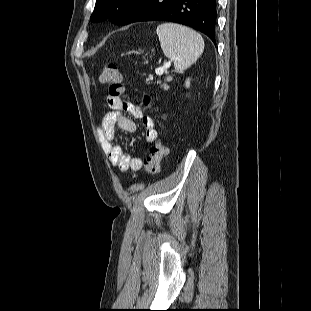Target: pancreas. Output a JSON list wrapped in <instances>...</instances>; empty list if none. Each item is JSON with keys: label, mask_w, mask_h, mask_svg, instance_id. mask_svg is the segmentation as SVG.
Listing matches in <instances>:
<instances>
[{"label": "pancreas", "mask_w": 311, "mask_h": 311, "mask_svg": "<svg viewBox=\"0 0 311 311\" xmlns=\"http://www.w3.org/2000/svg\"><path fill=\"white\" fill-rule=\"evenodd\" d=\"M158 83H160V82H158ZM161 87L165 88V87H166V84H162Z\"/></svg>", "instance_id": "obj_1"}]
</instances>
